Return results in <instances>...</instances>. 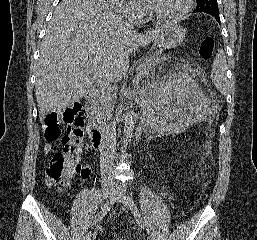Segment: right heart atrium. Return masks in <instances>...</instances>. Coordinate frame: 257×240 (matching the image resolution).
Segmentation results:
<instances>
[{"label":"right heart atrium","mask_w":257,"mask_h":240,"mask_svg":"<svg viewBox=\"0 0 257 240\" xmlns=\"http://www.w3.org/2000/svg\"><path fill=\"white\" fill-rule=\"evenodd\" d=\"M112 8L133 23H139L145 16V8L140 0H109Z\"/></svg>","instance_id":"1"}]
</instances>
